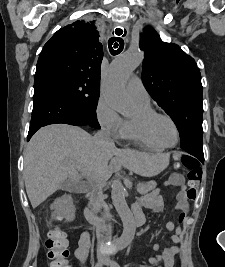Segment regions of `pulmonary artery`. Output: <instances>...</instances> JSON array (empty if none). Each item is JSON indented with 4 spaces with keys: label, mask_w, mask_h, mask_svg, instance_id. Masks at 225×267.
<instances>
[{
    "label": "pulmonary artery",
    "mask_w": 225,
    "mask_h": 267,
    "mask_svg": "<svg viewBox=\"0 0 225 267\" xmlns=\"http://www.w3.org/2000/svg\"><path fill=\"white\" fill-rule=\"evenodd\" d=\"M127 91L132 100L148 101L150 99L141 78L138 76H133L130 78L127 85Z\"/></svg>",
    "instance_id": "pulmonary-artery-1"
}]
</instances>
